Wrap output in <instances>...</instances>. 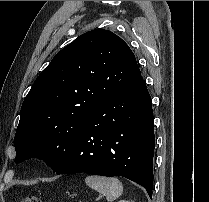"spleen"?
<instances>
[{
	"mask_svg": "<svg viewBox=\"0 0 209 202\" xmlns=\"http://www.w3.org/2000/svg\"><path fill=\"white\" fill-rule=\"evenodd\" d=\"M85 183L90 188L105 195L109 202L120 197L123 192V185L117 178L90 175L85 178Z\"/></svg>",
	"mask_w": 209,
	"mask_h": 202,
	"instance_id": "spleen-1",
	"label": "spleen"
}]
</instances>
